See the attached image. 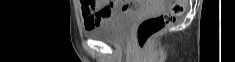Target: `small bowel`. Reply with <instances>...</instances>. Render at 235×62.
Here are the masks:
<instances>
[{
  "label": "small bowel",
  "mask_w": 235,
  "mask_h": 62,
  "mask_svg": "<svg viewBox=\"0 0 235 62\" xmlns=\"http://www.w3.org/2000/svg\"><path fill=\"white\" fill-rule=\"evenodd\" d=\"M130 5L122 0H99L95 6L91 1H81L83 24L86 30L101 27L118 11H128Z\"/></svg>",
  "instance_id": "c3829d8e"
}]
</instances>
